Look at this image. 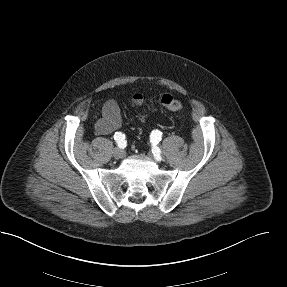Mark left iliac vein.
<instances>
[{"instance_id":"left-iliac-vein-1","label":"left iliac vein","mask_w":287,"mask_h":287,"mask_svg":"<svg viewBox=\"0 0 287 287\" xmlns=\"http://www.w3.org/2000/svg\"><path fill=\"white\" fill-rule=\"evenodd\" d=\"M154 157H155V160H156L157 162H160V161L162 160L161 151L158 150V151L155 153Z\"/></svg>"}]
</instances>
